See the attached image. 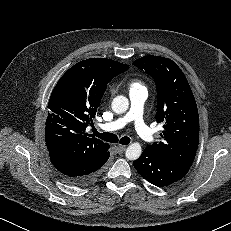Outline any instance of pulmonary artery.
Wrapping results in <instances>:
<instances>
[{"label": "pulmonary artery", "mask_w": 231, "mask_h": 231, "mask_svg": "<svg viewBox=\"0 0 231 231\" xmlns=\"http://www.w3.org/2000/svg\"><path fill=\"white\" fill-rule=\"evenodd\" d=\"M148 97L146 89L132 91L129 93L130 108L128 112L109 123L101 126L107 132H112L125 127L128 123L133 122L137 134L144 140L151 141L154 139V131L148 127L143 119L144 103Z\"/></svg>", "instance_id": "e3ab8cb5"}]
</instances>
